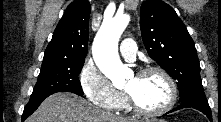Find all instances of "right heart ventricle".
Returning a JSON list of instances; mask_svg holds the SVG:
<instances>
[{
  "instance_id": "1",
  "label": "right heart ventricle",
  "mask_w": 221,
  "mask_h": 122,
  "mask_svg": "<svg viewBox=\"0 0 221 122\" xmlns=\"http://www.w3.org/2000/svg\"><path fill=\"white\" fill-rule=\"evenodd\" d=\"M130 109L125 96L123 95L120 99V101L118 102V105L116 107L115 110H122V111H128Z\"/></svg>"
}]
</instances>
